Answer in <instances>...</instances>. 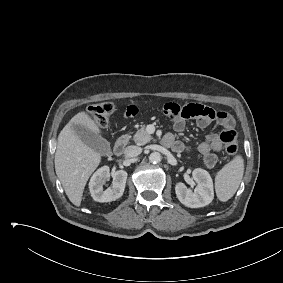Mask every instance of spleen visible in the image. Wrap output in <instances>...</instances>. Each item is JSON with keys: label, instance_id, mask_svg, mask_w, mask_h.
Returning <instances> with one entry per match:
<instances>
[{"label": "spleen", "instance_id": "obj_1", "mask_svg": "<svg viewBox=\"0 0 283 283\" xmlns=\"http://www.w3.org/2000/svg\"><path fill=\"white\" fill-rule=\"evenodd\" d=\"M244 173L243 158L238 155L216 175L215 191L218 199L228 201L236 193Z\"/></svg>", "mask_w": 283, "mask_h": 283}]
</instances>
